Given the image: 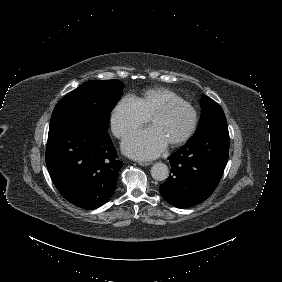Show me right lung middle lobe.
Here are the masks:
<instances>
[{"mask_svg":"<svg viewBox=\"0 0 282 282\" xmlns=\"http://www.w3.org/2000/svg\"><path fill=\"white\" fill-rule=\"evenodd\" d=\"M119 80H91L64 96L54 108L50 127L73 118L87 120L106 132L110 113L122 95Z\"/></svg>","mask_w":282,"mask_h":282,"instance_id":"1","label":"right lung middle lobe"}]
</instances>
